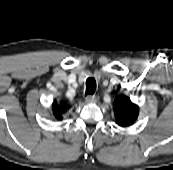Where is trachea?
Returning <instances> with one entry per match:
<instances>
[{
	"label": "trachea",
	"mask_w": 173,
	"mask_h": 170,
	"mask_svg": "<svg viewBox=\"0 0 173 170\" xmlns=\"http://www.w3.org/2000/svg\"><path fill=\"white\" fill-rule=\"evenodd\" d=\"M96 90V81L94 78H88L86 80V92L85 95H93Z\"/></svg>",
	"instance_id": "trachea-1"
}]
</instances>
